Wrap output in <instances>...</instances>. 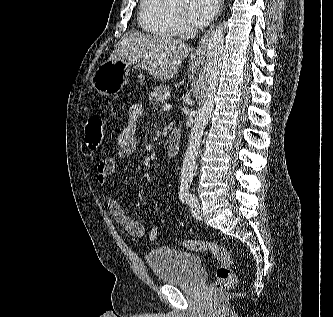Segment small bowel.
<instances>
[{"label": "small bowel", "mask_w": 333, "mask_h": 317, "mask_svg": "<svg viewBox=\"0 0 333 317\" xmlns=\"http://www.w3.org/2000/svg\"><path fill=\"white\" fill-rule=\"evenodd\" d=\"M144 112L142 103H134L128 109V121L115 139L117 156L120 159L130 157L137 148L136 129L137 122ZM116 168V158L105 157L97 165L96 181L99 188L104 192V198L108 210L117 224L128 234L134 237H142L145 234V226L142 222L129 216L119 202L108 192L110 177Z\"/></svg>", "instance_id": "obj_1"}]
</instances>
